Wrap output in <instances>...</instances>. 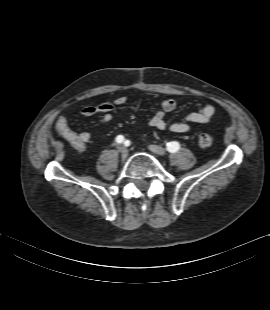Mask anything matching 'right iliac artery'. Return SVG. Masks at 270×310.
I'll use <instances>...</instances> for the list:
<instances>
[{
	"label": "right iliac artery",
	"instance_id": "82829eb1",
	"mask_svg": "<svg viewBox=\"0 0 270 310\" xmlns=\"http://www.w3.org/2000/svg\"><path fill=\"white\" fill-rule=\"evenodd\" d=\"M124 141V137L122 136V135H118L117 137H116V142L117 143H122Z\"/></svg>",
	"mask_w": 270,
	"mask_h": 310
}]
</instances>
